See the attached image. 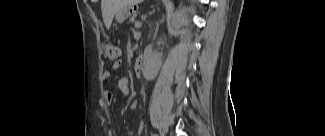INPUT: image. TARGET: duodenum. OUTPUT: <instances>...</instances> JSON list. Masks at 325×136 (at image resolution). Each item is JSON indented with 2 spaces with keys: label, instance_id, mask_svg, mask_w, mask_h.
<instances>
[{
  "label": "duodenum",
  "instance_id": "410a0bca",
  "mask_svg": "<svg viewBox=\"0 0 325 136\" xmlns=\"http://www.w3.org/2000/svg\"><path fill=\"white\" fill-rule=\"evenodd\" d=\"M144 56L143 54L139 55L134 64V73L136 75H141L143 72Z\"/></svg>",
  "mask_w": 325,
  "mask_h": 136
}]
</instances>
